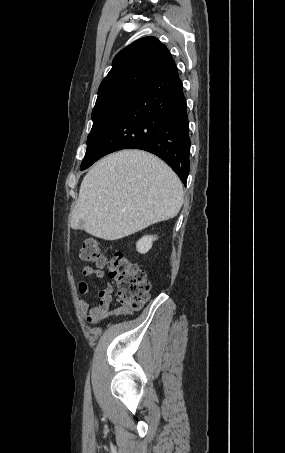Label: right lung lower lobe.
<instances>
[{
  "mask_svg": "<svg viewBox=\"0 0 285 453\" xmlns=\"http://www.w3.org/2000/svg\"><path fill=\"white\" fill-rule=\"evenodd\" d=\"M186 109L183 85L175 65L136 91L98 149L92 164L114 151L141 149L163 159L186 185L190 169Z\"/></svg>",
  "mask_w": 285,
  "mask_h": 453,
  "instance_id": "98d812e1",
  "label": "right lung lower lobe"
}]
</instances>
